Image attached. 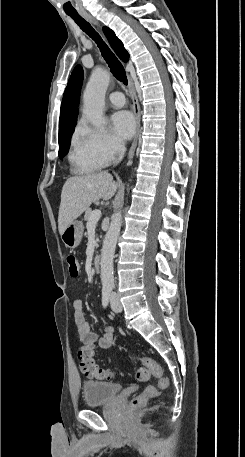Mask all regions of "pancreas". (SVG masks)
Listing matches in <instances>:
<instances>
[{
  "mask_svg": "<svg viewBox=\"0 0 245 457\" xmlns=\"http://www.w3.org/2000/svg\"><path fill=\"white\" fill-rule=\"evenodd\" d=\"M92 212H93L92 208H86V212L84 214V220H87V222H90L89 218H90Z\"/></svg>",
  "mask_w": 245,
  "mask_h": 457,
  "instance_id": "cf45deb5",
  "label": "pancreas"
}]
</instances>
